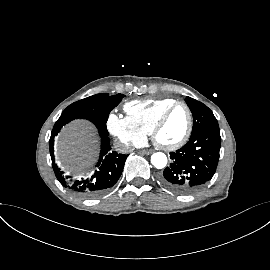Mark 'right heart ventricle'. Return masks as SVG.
Segmentation results:
<instances>
[{"label": "right heart ventricle", "mask_w": 270, "mask_h": 270, "mask_svg": "<svg viewBox=\"0 0 270 270\" xmlns=\"http://www.w3.org/2000/svg\"><path fill=\"white\" fill-rule=\"evenodd\" d=\"M175 102L173 98L133 100L125 104L124 110L130 120L149 135L160 115Z\"/></svg>", "instance_id": "1"}]
</instances>
